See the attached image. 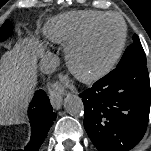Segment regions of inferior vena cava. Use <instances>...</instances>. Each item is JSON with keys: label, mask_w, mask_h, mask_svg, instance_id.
I'll list each match as a JSON object with an SVG mask.
<instances>
[{"label": "inferior vena cava", "mask_w": 151, "mask_h": 151, "mask_svg": "<svg viewBox=\"0 0 151 151\" xmlns=\"http://www.w3.org/2000/svg\"><path fill=\"white\" fill-rule=\"evenodd\" d=\"M59 65V58L52 54H45L41 59V70L45 73H52ZM54 104V102H53Z\"/></svg>", "instance_id": "1"}]
</instances>
